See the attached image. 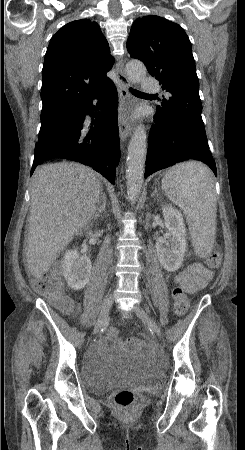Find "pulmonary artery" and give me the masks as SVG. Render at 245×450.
<instances>
[{"instance_id": "1", "label": "pulmonary artery", "mask_w": 245, "mask_h": 450, "mask_svg": "<svg viewBox=\"0 0 245 450\" xmlns=\"http://www.w3.org/2000/svg\"><path fill=\"white\" fill-rule=\"evenodd\" d=\"M143 93H157L159 88L154 77L146 76L141 80Z\"/></svg>"}]
</instances>
